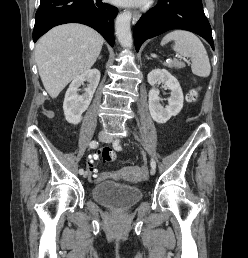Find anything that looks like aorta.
<instances>
[{
    "label": "aorta",
    "instance_id": "1",
    "mask_svg": "<svg viewBox=\"0 0 248 258\" xmlns=\"http://www.w3.org/2000/svg\"><path fill=\"white\" fill-rule=\"evenodd\" d=\"M131 18V12L124 11L117 16L115 21L116 36L120 45L124 48H131L133 44L130 27Z\"/></svg>",
    "mask_w": 248,
    "mask_h": 258
}]
</instances>
